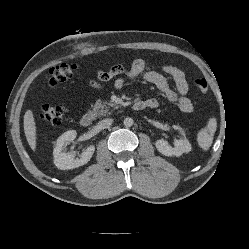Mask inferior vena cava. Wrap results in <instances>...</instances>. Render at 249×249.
<instances>
[{
  "label": "inferior vena cava",
  "instance_id": "obj_1",
  "mask_svg": "<svg viewBox=\"0 0 249 249\" xmlns=\"http://www.w3.org/2000/svg\"><path fill=\"white\" fill-rule=\"evenodd\" d=\"M113 123V119L112 118H107V119H103L98 123V127L100 129H105L110 127V125Z\"/></svg>",
  "mask_w": 249,
  "mask_h": 249
}]
</instances>
